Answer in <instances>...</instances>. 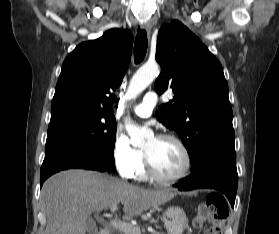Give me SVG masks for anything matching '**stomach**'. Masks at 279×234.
Returning a JSON list of instances; mask_svg holds the SVG:
<instances>
[{"label":"stomach","instance_id":"stomach-1","mask_svg":"<svg viewBox=\"0 0 279 234\" xmlns=\"http://www.w3.org/2000/svg\"><path fill=\"white\" fill-rule=\"evenodd\" d=\"M162 219L168 234H182L188 223L186 213L180 207H169Z\"/></svg>","mask_w":279,"mask_h":234}]
</instances>
